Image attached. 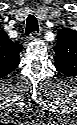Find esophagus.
<instances>
[{"instance_id":"esophagus-1","label":"esophagus","mask_w":77,"mask_h":125,"mask_svg":"<svg viewBox=\"0 0 77 125\" xmlns=\"http://www.w3.org/2000/svg\"><path fill=\"white\" fill-rule=\"evenodd\" d=\"M40 35L39 32H33L28 36V40H34Z\"/></svg>"}]
</instances>
